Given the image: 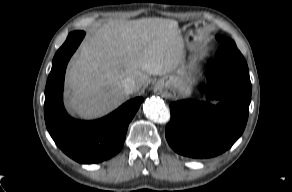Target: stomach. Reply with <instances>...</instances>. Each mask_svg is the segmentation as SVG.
<instances>
[{
    "instance_id": "stomach-1",
    "label": "stomach",
    "mask_w": 292,
    "mask_h": 192,
    "mask_svg": "<svg viewBox=\"0 0 292 192\" xmlns=\"http://www.w3.org/2000/svg\"><path fill=\"white\" fill-rule=\"evenodd\" d=\"M189 50H197L198 38L190 33L187 38ZM196 71L191 65H182L175 74L164 76L160 79L156 88L169 96H187L190 94V86L195 81Z\"/></svg>"
}]
</instances>
